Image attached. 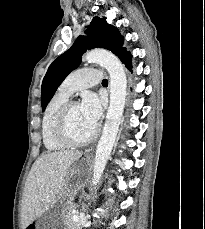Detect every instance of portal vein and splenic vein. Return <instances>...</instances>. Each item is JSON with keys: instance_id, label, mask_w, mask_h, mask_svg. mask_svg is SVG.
I'll return each mask as SVG.
<instances>
[{"instance_id": "portal-vein-and-splenic-vein-1", "label": "portal vein and splenic vein", "mask_w": 205, "mask_h": 229, "mask_svg": "<svg viewBox=\"0 0 205 229\" xmlns=\"http://www.w3.org/2000/svg\"><path fill=\"white\" fill-rule=\"evenodd\" d=\"M73 220L74 221H79V217L77 215H73Z\"/></svg>"}]
</instances>
